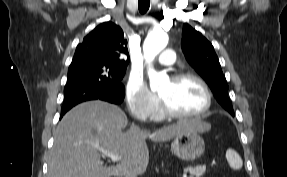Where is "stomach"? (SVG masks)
<instances>
[{
    "instance_id": "0dacf381",
    "label": "stomach",
    "mask_w": 287,
    "mask_h": 177,
    "mask_svg": "<svg viewBox=\"0 0 287 177\" xmlns=\"http://www.w3.org/2000/svg\"><path fill=\"white\" fill-rule=\"evenodd\" d=\"M205 150V143L196 130L187 131L175 136L171 143V151L184 161H194L199 158Z\"/></svg>"
}]
</instances>
